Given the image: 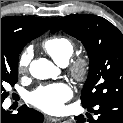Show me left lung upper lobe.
Wrapping results in <instances>:
<instances>
[{"mask_svg":"<svg viewBox=\"0 0 123 123\" xmlns=\"http://www.w3.org/2000/svg\"><path fill=\"white\" fill-rule=\"evenodd\" d=\"M59 30L80 40L90 59L82 105L93 107L103 99L123 97L122 33L106 19L90 14L60 18L51 33Z\"/></svg>","mask_w":123,"mask_h":123,"instance_id":"1","label":"left lung upper lobe"}]
</instances>
